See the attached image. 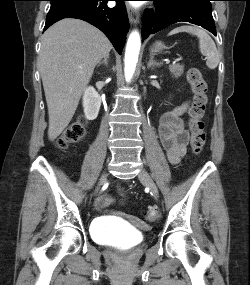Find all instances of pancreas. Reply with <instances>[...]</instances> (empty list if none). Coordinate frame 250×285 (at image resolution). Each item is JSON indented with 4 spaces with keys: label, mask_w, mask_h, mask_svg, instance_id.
Instances as JSON below:
<instances>
[{
    "label": "pancreas",
    "mask_w": 250,
    "mask_h": 285,
    "mask_svg": "<svg viewBox=\"0 0 250 285\" xmlns=\"http://www.w3.org/2000/svg\"><path fill=\"white\" fill-rule=\"evenodd\" d=\"M169 70L175 78H178L184 73V66L178 63L172 64L169 66Z\"/></svg>",
    "instance_id": "obj_1"
}]
</instances>
